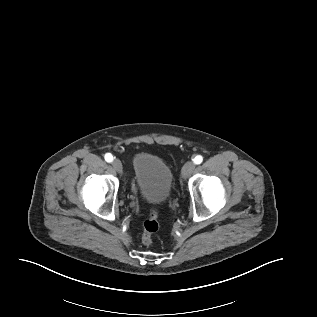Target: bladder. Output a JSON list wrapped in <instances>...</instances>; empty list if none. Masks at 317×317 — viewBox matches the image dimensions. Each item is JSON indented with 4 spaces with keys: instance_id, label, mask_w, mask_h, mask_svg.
<instances>
[{
    "instance_id": "1",
    "label": "bladder",
    "mask_w": 317,
    "mask_h": 317,
    "mask_svg": "<svg viewBox=\"0 0 317 317\" xmlns=\"http://www.w3.org/2000/svg\"><path fill=\"white\" fill-rule=\"evenodd\" d=\"M134 180L144 200L150 203L166 201L173 187V172L158 156L139 152L132 160Z\"/></svg>"
}]
</instances>
